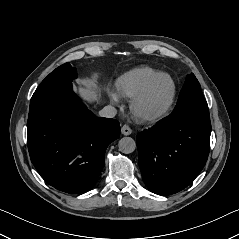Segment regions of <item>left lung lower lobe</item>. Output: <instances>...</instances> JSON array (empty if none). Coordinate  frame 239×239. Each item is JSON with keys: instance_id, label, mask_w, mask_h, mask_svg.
Masks as SVG:
<instances>
[{"instance_id": "0a47b994", "label": "left lung lower lobe", "mask_w": 239, "mask_h": 239, "mask_svg": "<svg viewBox=\"0 0 239 239\" xmlns=\"http://www.w3.org/2000/svg\"><path fill=\"white\" fill-rule=\"evenodd\" d=\"M208 105L189 104L137 134L138 162L147 188L159 195L187 187L209 154Z\"/></svg>"}]
</instances>
